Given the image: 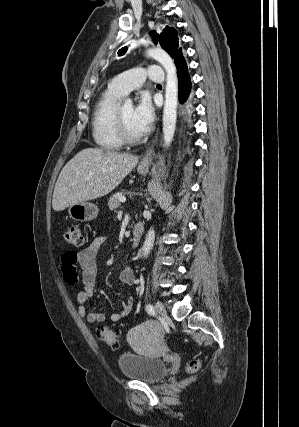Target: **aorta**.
I'll list each match as a JSON object with an SVG mask.
<instances>
[{
    "instance_id": "aorta-1",
    "label": "aorta",
    "mask_w": 299,
    "mask_h": 427,
    "mask_svg": "<svg viewBox=\"0 0 299 427\" xmlns=\"http://www.w3.org/2000/svg\"><path fill=\"white\" fill-rule=\"evenodd\" d=\"M147 55L158 61L166 71V87H165V103L163 110V139L164 146L168 147L174 137L176 120H177V105H178V77L174 61L170 55L159 47L147 50ZM125 107L132 108V100L125 101ZM155 231L150 228L143 247L142 255L147 257L154 245Z\"/></svg>"
}]
</instances>
